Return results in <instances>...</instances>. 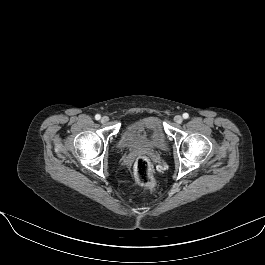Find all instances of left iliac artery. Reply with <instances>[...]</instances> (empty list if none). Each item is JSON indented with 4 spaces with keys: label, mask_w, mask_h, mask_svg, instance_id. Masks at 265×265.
<instances>
[{
    "label": "left iliac artery",
    "mask_w": 265,
    "mask_h": 265,
    "mask_svg": "<svg viewBox=\"0 0 265 265\" xmlns=\"http://www.w3.org/2000/svg\"><path fill=\"white\" fill-rule=\"evenodd\" d=\"M188 117H189V114H188V113H184V114H183V118H184V119H187Z\"/></svg>",
    "instance_id": "obj_1"
}]
</instances>
